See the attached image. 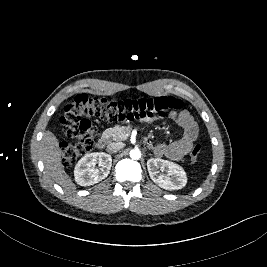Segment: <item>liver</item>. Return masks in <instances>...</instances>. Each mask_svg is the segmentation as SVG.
Masks as SVG:
<instances>
[{
	"instance_id": "obj_1",
	"label": "liver",
	"mask_w": 267,
	"mask_h": 267,
	"mask_svg": "<svg viewBox=\"0 0 267 267\" xmlns=\"http://www.w3.org/2000/svg\"><path fill=\"white\" fill-rule=\"evenodd\" d=\"M41 157L45 171L50 178L66 190L76 189V185L64 170L59 141L49 130L43 134L41 141Z\"/></svg>"
}]
</instances>
